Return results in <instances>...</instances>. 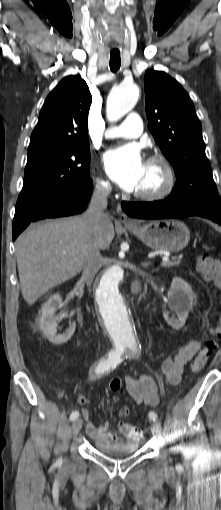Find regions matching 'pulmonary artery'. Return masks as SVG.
Here are the masks:
<instances>
[{
	"label": "pulmonary artery",
	"instance_id": "pulmonary-artery-1",
	"mask_svg": "<svg viewBox=\"0 0 221 510\" xmlns=\"http://www.w3.org/2000/svg\"><path fill=\"white\" fill-rule=\"evenodd\" d=\"M143 131L141 117L137 113H131L120 125L113 127L106 132L108 139H132L138 137Z\"/></svg>",
	"mask_w": 221,
	"mask_h": 510
}]
</instances>
